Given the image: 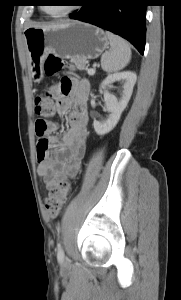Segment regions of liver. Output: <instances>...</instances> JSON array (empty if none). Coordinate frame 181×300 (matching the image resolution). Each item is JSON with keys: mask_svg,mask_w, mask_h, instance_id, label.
Masks as SVG:
<instances>
[{"mask_svg": "<svg viewBox=\"0 0 181 300\" xmlns=\"http://www.w3.org/2000/svg\"><path fill=\"white\" fill-rule=\"evenodd\" d=\"M56 25H43V26H37L39 28H50V27H54Z\"/></svg>", "mask_w": 181, "mask_h": 300, "instance_id": "obj_1", "label": "liver"}]
</instances>
